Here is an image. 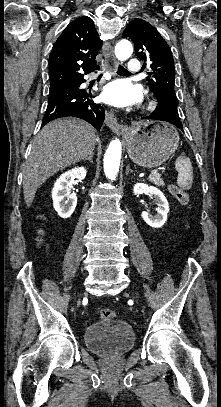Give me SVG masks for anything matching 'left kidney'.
Here are the masks:
<instances>
[{
  "label": "left kidney",
  "mask_w": 221,
  "mask_h": 407,
  "mask_svg": "<svg viewBox=\"0 0 221 407\" xmlns=\"http://www.w3.org/2000/svg\"><path fill=\"white\" fill-rule=\"evenodd\" d=\"M134 195L147 194L154 197L157 202L158 208L156 209V215H150L148 212H142L143 220L153 228H160L167 220V214L169 212V205L164 194L154 186H148L144 183H137L133 188Z\"/></svg>",
  "instance_id": "5707ae66"
}]
</instances>
